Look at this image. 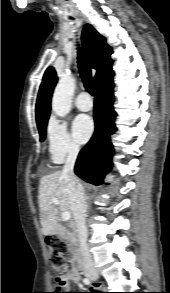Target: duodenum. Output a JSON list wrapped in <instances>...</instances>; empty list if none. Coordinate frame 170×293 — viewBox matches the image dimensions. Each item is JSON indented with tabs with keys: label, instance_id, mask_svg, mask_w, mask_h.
<instances>
[{
	"label": "duodenum",
	"instance_id": "410a0bca",
	"mask_svg": "<svg viewBox=\"0 0 170 293\" xmlns=\"http://www.w3.org/2000/svg\"><path fill=\"white\" fill-rule=\"evenodd\" d=\"M76 226V222L75 219H71V227H75ZM46 231L47 235H59L61 233L64 232V230L60 229L58 226L56 225H52L50 227H46L44 228ZM72 266L74 268L75 271H81L82 270V259L81 256L79 255V253L75 254V256L72 259Z\"/></svg>",
	"mask_w": 170,
	"mask_h": 293
}]
</instances>
